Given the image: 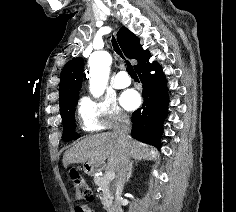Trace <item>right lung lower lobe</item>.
Returning a JSON list of instances; mask_svg holds the SVG:
<instances>
[{
    "label": "right lung lower lobe",
    "instance_id": "right-lung-lower-lobe-1",
    "mask_svg": "<svg viewBox=\"0 0 236 212\" xmlns=\"http://www.w3.org/2000/svg\"><path fill=\"white\" fill-rule=\"evenodd\" d=\"M150 54L135 69L142 84L144 103L132 114V137L160 148L162 124L167 117L169 103L167 82L157 62H148ZM155 70V74H150Z\"/></svg>",
    "mask_w": 236,
    "mask_h": 212
}]
</instances>
